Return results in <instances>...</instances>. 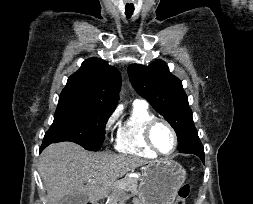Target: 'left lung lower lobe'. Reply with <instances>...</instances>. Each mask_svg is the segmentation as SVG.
Instances as JSON below:
<instances>
[{
	"label": "left lung lower lobe",
	"instance_id": "obj_1",
	"mask_svg": "<svg viewBox=\"0 0 253 204\" xmlns=\"http://www.w3.org/2000/svg\"><path fill=\"white\" fill-rule=\"evenodd\" d=\"M191 145L188 148L182 149L179 152L181 153H192L197 155L204 163V150H203V146L201 144V141L198 137V132L197 130H195L192 134V138H191Z\"/></svg>",
	"mask_w": 253,
	"mask_h": 204
}]
</instances>
